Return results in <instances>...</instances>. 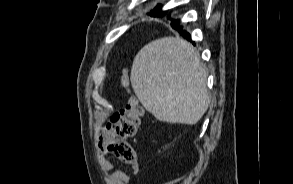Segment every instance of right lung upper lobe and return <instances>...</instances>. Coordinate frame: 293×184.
<instances>
[{
	"instance_id": "obj_1",
	"label": "right lung upper lobe",
	"mask_w": 293,
	"mask_h": 184,
	"mask_svg": "<svg viewBox=\"0 0 293 184\" xmlns=\"http://www.w3.org/2000/svg\"><path fill=\"white\" fill-rule=\"evenodd\" d=\"M162 14L163 13L161 12L160 7H158L157 10L150 13L151 16H162ZM168 18L170 19V16H168Z\"/></svg>"
}]
</instances>
